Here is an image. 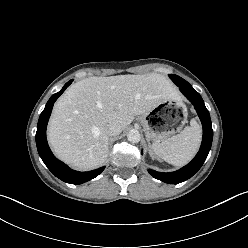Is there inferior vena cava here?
<instances>
[{"mask_svg": "<svg viewBox=\"0 0 248 248\" xmlns=\"http://www.w3.org/2000/svg\"><path fill=\"white\" fill-rule=\"evenodd\" d=\"M105 131L109 136H115L122 132V128L117 123H110L106 126Z\"/></svg>", "mask_w": 248, "mask_h": 248, "instance_id": "1", "label": "inferior vena cava"}]
</instances>
